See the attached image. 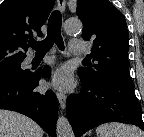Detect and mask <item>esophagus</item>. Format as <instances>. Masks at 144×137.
<instances>
[{
    "label": "esophagus",
    "instance_id": "obj_1",
    "mask_svg": "<svg viewBox=\"0 0 144 137\" xmlns=\"http://www.w3.org/2000/svg\"><path fill=\"white\" fill-rule=\"evenodd\" d=\"M57 5H58V8L61 12L65 11V8H66V1L65 0H57ZM56 96H57V99L59 101L61 109L64 110L66 107V95L62 92H57Z\"/></svg>",
    "mask_w": 144,
    "mask_h": 137
}]
</instances>
